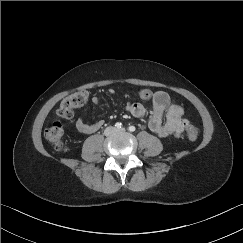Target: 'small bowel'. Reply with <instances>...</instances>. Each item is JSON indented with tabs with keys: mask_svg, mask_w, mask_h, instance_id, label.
<instances>
[{
	"mask_svg": "<svg viewBox=\"0 0 243 243\" xmlns=\"http://www.w3.org/2000/svg\"><path fill=\"white\" fill-rule=\"evenodd\" d=\"M109 93H114L113 89ZM142 99H149L152 97V112L149 119V128L159 137H167L169 135H180L188 124V120L183 117V108L172 102L167 92L159 90L151 93L148 89L140 91ZM91 100L94 104L100 101L99 96L93 95ZM126 111L133 117L140 118L146 114V107L139 102H127L125 104ZM166 121L163 122V117ZM104 122L99 120L95 123H87L84 119L79 118L75 122L76 128L85 134L93 133L103 126Z\"/></svg>",
	"mask_w": 243,
	"mask_h": 243,
	"instance_id": "small-bowel-1",
	"label": "small bowel"
}]
</instances>
